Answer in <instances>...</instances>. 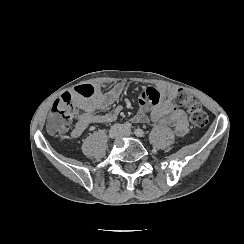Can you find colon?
<instances>
[{
	"instance_id": "5ec220e1",
	"label": "colon",
	"mask_w": 244,
	"mask_h": 244,
	"mask_svg": "<svg viewBox=\"0 0 244 244\" xmlns=\"http://www.w3.org/2000/svg\"><path fill=\"white\" fill-rule=\"evenodd\" d=\"M97 89L94 86L78 84L73 95L76 98L91 97L96 94ZM176 104L186 108L190 114V122L196 128H203L208 124V115L197 101V99L187 91L180 90L175 95ZM77 114V108L71 101V96L64 93L58 96L51 107V114L48 119L47 128L51 132H66L72 124Z\"/></svg>"
}]
</instances>
